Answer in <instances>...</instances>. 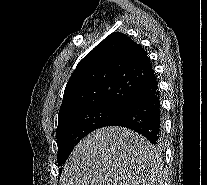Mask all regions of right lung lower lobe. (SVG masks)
<instances>
[{
    "label": "right lung lower lobe",
    "mask_w": 207,
    "mask_h": 185,
    "mask_svg": "<svg viewBox=\"0 0 207 185\" xmlns=\"http://www.w3.org/2000/svg\"><path fill=\"white\" fill-rule=\"evenodd\" d=\"M106 126L129 128L161 147L163 119L157 80L136 92Z\"/></svg>",
    "instance_id": "obj_1"
}]
</instances>
